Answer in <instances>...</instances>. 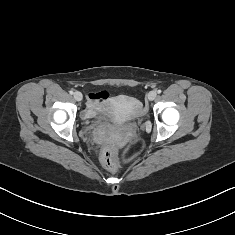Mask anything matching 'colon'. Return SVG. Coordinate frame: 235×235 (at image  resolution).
Returning a JSON list of instances; mask_svg holds the SVG:
<instances>
[{
    "label": "colon",
    "mask_w": 235,
    "mask_h": 235,
    "mask_svg": "<svg viewBox=\"0 0 235 235\" xmlns=\"http://www.w3.org/2000/svg\"><path fill=\"white\" fill-rule=\"evenodd\" d=\"M105 164L108 168L116 170L121 166L122 161L118 156L114 155L112 152L107 151L105 153Z\"/></svg>",
    "instance_id": "colon-1"
}]
</instances>
